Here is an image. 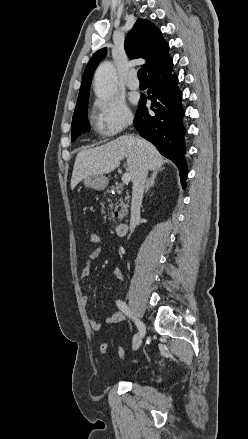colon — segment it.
<instances>
[{
    "label": "colon",
    "instance_id": "1",
    "mask_svg": "<svg viewBox=\"0 0 248 439\" xmlns=\"http://www.w3.org/2000/svg\"><path fill=\"white\" fill-rule=\"evenodd\" d=\"M87 237H88V241H89V243L91 245H94V246H99L100 245V243H101V236H100V234L97 231L89 232ZM108 350H109V345L107 343L101 344L100 352L102 354H107ZM117 352H118V355H119L120 358H125L126 357V351L122 347H119Z\"/></svg>",
    "mask_w": 248,
    "mask_h": 439
}]
</instances>
